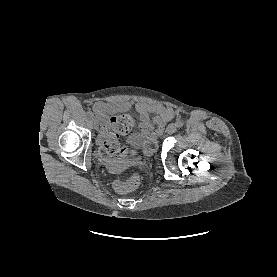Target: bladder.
I'll use <instances>...</instances> for the list:
<instances>
[{
    "instance_id": "1",
    "label": "bladder",
    "mask_w": 277,
    "mask_h": 277,
    "mask_svg": "<svg viewBox=\"0 0 277 277\" xmlns=\"http://www.w3.org/2000/svg\"><path fill=\"white\" fill-rule=\"evenodd\" d=\"M155 136L156 133L152 125L148 122H144L136 132L129 135L128 141L132 146L140 147L147 138Z\"/></svg>"
}]
</instances>
